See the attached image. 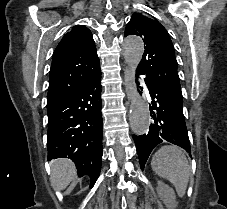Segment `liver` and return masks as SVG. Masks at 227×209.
<instances>
[{
  "instance_id": "6515ba94",
  "label": "liver",
  "mask_w": 227,
  "mask_h": 209,
  "mask_svg": "<svg viewBox=\"0 0 227 209\" xmlns=\"http://www.w3.org/2000/svg\"><path fill=\"white\" fill-rule=\"evenodd\" d=\"M76 175L74 163L69 159H58L51 163V183L56 191L66 189Z\"/></svg>"
}]
</instances>
